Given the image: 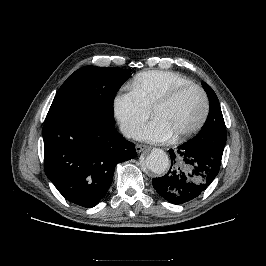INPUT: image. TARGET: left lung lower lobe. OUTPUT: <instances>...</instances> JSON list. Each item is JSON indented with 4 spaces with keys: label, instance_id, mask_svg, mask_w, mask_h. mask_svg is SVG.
Masks as SVG:
<instances>
[{
    "label": "left lung lower lobe",
    "instance_id": "1",
    "mask_svg": "<svg viewBox=\"0 0 266 266\" xmlns=\"http://www.w3.org/2000/svg\"><path fill=\"white\" fill-rule=\"evenodd\" d=\"M171 167L152 184L158 194L173 204H183L198 197L217 176L221 159L189 148L185 143L170 149Z\"/></svg>",
    "mask_w": 266,
    "mask_h": 266
}]
</instances>
